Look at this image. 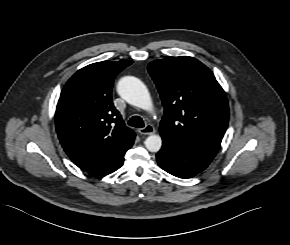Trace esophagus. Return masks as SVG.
I'll return each instance as SVG.
<instances>
[{
    "instance_id": "esophagus-1",
    "label": "esophagus",
    "mask_w": 290,
    "mask_h": 245,
    "mask_svg": "<svg viewBox=\"0 0 290 245\" xmlns=\"http://www.w3.org/2000/svg\"><path fill=\"white\" fill-rule=\"evenodd\" d=\"M154 131H155V128L150 124L146 125L143 128H140L138 130V132L142 135H150V134L154 133Z\"/></svg>"
}]
</instances>
